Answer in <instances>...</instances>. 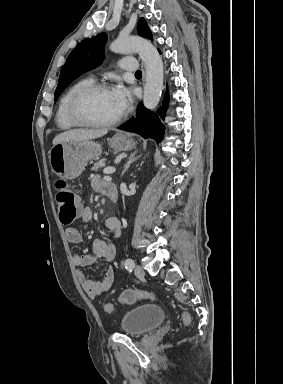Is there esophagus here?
Returning <instances> with one entry per match:
<instances>
[{"mask_svg": "<svg viewBox=\"0 0 283 384\" xmlns=\"http://www.w3.org/2000/svg\"><path fill=\"white\" fill-rule=\"evenodd\" d=\"M141 68H142V74H143V78H142V81L144 83L145 81V76H146V67H145V64L142 62L141 63Z\"/></svg>", "mask_w": 283, "mask_h": 384, "instance_id": "obj_1", "label": "esophagus"}]
</instances>
